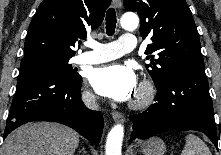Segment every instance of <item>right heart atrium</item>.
<instances>
[{
  "mask_svg": "<svg viewBox=\"0 0 221 155\" xmlns=\"http://www.w3.org/2000/svg\"><path fill=\"white\" fill-rule=\"evenodd\" d=\"M83 99L88 104H94L96 102L95 95L91 91H89V90H86L84 92Z\"/></svg>",
  "mask_w": 221,
  "mask_h": 155,
  "instance_id": "d8ad5b80",
  "label": "right heart atrium"
}]
</instances>
